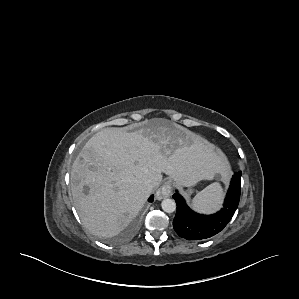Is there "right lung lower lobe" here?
I'll return each instance as SVG.
<instances>
[{
	"label": "right lung lower lobe",
	"instance_id": "98d812e1",
	"mask_svg": "<svg viewBox=\"0 0 299 299\" xmlns=\"http://www.w3.org/2000/svg\"><path fill=\"white\" fill-rule=\"evenodd\" d=\"M153 198H154L153 195L150 196L149 201L152 202V201H153Z\"/></svg>",
	"mask_w": 299,
	"mask_h": 299
}]
</instances>
